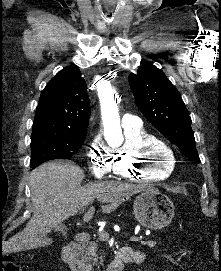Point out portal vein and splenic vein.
Returning a JSON list of instances; mask_svg holds the SVG:
<instances>
[{
  "label": "portal vein and splenic vein",
  "mask_w": 221,
  "mask_h": 271,
  "mask_svg": "<svg viewBox=\"0 0 221 271\" xmlns=\"http://www.w3.org/2000/svg\"><path fill=\"white\" fill-rule=\"evenodd\" d=\"M83 221H87V219H83ZM101 242H108L109 233L108 231H101L100 233ZM130 242H141V237H137L136 234H131L130 238L128 239Z\"/></svg>",
  "instance_id": "1"
}]
</instances>
